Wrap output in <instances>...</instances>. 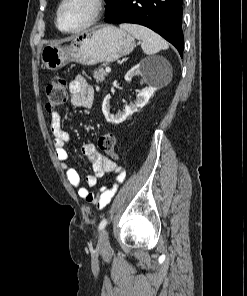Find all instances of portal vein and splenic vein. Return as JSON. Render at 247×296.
I'll return each mask as SVG.
<instances>
[{
  "instance_id": "portal-vein-and-splenic-vein-1",
  "label": "portal vein and splenic vein",
  "mask_w": 247,
  "mask_h": 296,
  "mask_svg": "<svg viewBox=\"0 0 247 296\" xmlns=\"http://www.w3.org/2000/svg\"><path fill=\"white\" fill-rule=\"evenodd\" d=\"M105 71L106 72H111V68L108 66V67L105 68Z\"/></svg>"
}]
</instances>
